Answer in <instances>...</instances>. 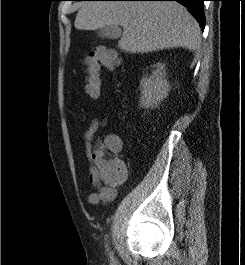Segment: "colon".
Segmentation results:
<instances>
[{"label": "colon", "mask_w": 245, "mask_h": 265, "mask_svg": "<svg viewBox=\"0 0 245 265\" xmlns=\"http://www.w3.org/2000/svg\"><path fill=\"white\" fill-rule=\"evenodd\" d=\"M120 64L117 54L105 47L94 49L85 59L86 85L85 94L91 100L100 96L101 81L99 77L100 67L115 70ZM121 141L113 136L94 155V165L108 179L117 180L125 175V165L117 157L121 150Z\"/></svg>", "instance_id": "5ec220e1"}]
</instances>
